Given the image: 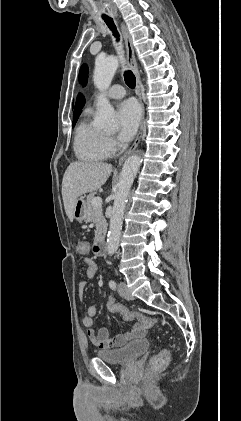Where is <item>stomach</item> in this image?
Here are the masks:
<instances>
[{"instance_id": "0dacf381", "label": "stomach", "mask_w": 241, "mask_h": 421, "mask_svg": "<svg viewBox=\"0 0 241 421\" xmlns=\"http://www.w3.org/2000/svg\"><path fill=\"white\" fill-rule=\"evenodd\" d=\"M87 211H86V202L83 198H79L75 202L74 210H73V218L77 221L82 222L86 219Z\"/></svg>"}]
</instances>
